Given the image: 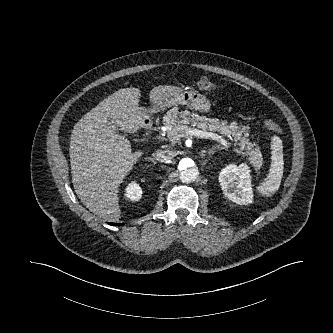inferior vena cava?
<instances>
[{
    "instance_id": "602c4592",
    "label": "inferior vena cava",
    "mask_w": 333,
    "mask_h": 333,
    "mask_svg": "<svg viewBox=\"0 0 333 333\" xmlns=\"http://www.w3.org/2000/svg\"><path fill=\"white\" fill-rule=\"evenodd\" d=\"M153 158L159 162L167 163L174 157V152L169 150H157L152 154Z\"/></svg>"
}]
</instances>
